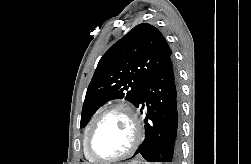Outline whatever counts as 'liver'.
Wrapping results in <instances>:
<instances>
[{"instance_id": "obj_1", "label": "liver", "mask_w": 251, "mask_h": 164, "mask_svg": "<svg viewBox=\"0 0 251 164\" xmlns=\"http://www.w3.org/2000/svg\"><path fill=\"white\" fill-rule=\"evenodd\" d=\"M134 163V161H132V162H129V164H133Z\"/></svg>"}]
</instances>
